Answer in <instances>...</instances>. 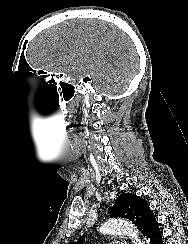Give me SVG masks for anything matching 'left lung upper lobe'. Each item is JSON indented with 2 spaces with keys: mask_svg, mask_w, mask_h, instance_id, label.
<instances>
[{
  "mask_svg": "<svg viewBox=\"0 0 188 244\" xmlns=\"http://www.w3.org/2000/svg\"><path fill=\"white\" fill-rule=\"evenodd\" d=\"M152 212L146 200L136 194H123L115 200V205L109 213L110 217H121L131 220L142 232L148 214ZM84 240L71 244H82Z\"/></svg>",
  "mask_w": 188,
  "mask_h": 244,
  "instance_id": "5c2ea615",
  "label": "left lung upper lobe"
}]
</instances>
